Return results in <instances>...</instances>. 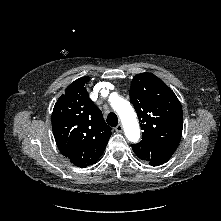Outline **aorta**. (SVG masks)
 I'll return each instance as SVG.
<instances>
[{
    "mask_svg": "<svg viewBox=\"0 0 221 221\" xmlns=\"http://www.w3.org/2000/svg\"><path fill=\"white\" fill-rule=\"evenodd\" d=\"M111 105L121 119L127 139L131 142H137L140 138V129L136 113L130 103L117 97Z\"/></svg>",
    "mask_w": 221,
    "mask_h": 221,
    "instance_id": "1",
    "label": "aorta"
}]
</instances>
